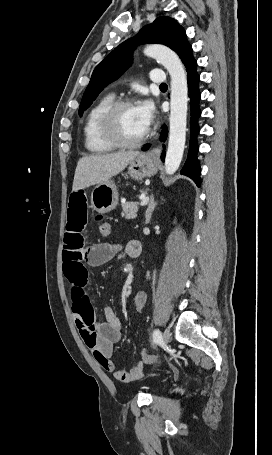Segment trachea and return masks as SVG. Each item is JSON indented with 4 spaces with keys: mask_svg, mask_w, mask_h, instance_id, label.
<instances>
[{
    "mask_svg": "<svg viewBox=\"0 0 272 455\" xmlns=\"http://www.w3.org/2000/svg\"><path fill=\"white\" fill-rule=\"evenodd\" d=\"M160 87L161 88H165V87H167V84L163 83V84L160 85Z\"/></svg>",
    "mask_w": 272,
    "mask_h": 455,
    "instance_id": "3493384b",
    "label": "trachea"
}]
</instances>
